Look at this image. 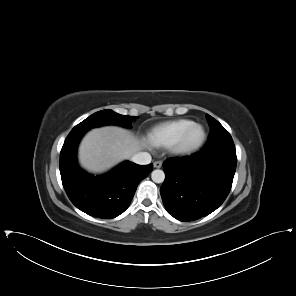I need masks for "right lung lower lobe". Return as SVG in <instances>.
Instances as JSON below:
<instances>
[{"instance_id": "1", "label": "right lung lower lobe", "mask_w": 296, "mask_h": 296, "mask_svg": "<svg viewBox=\"0 0 296 296\" xmlns=\"http://www.w3.org/2000/svg\"><path fill=\"white\" fill-rule=\"evenodd\" d=\"M86 131L72 130L60 153L63 187L71 202L93 217L111 219L129 206L138 184L152 171L153 165L123 162L109 173L92 176L76 161L78 143Z\"/></svg>"}]
</instances>
